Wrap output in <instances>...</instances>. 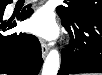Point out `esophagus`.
Returning <instances> with one entry per match:
<instances>
[{
  "label": "esophagus",
  "instance_id": "1",
  "mask_svg": "<svg viewBox=\"0 0 102 75\" xmlns=\"http://www.w3.org/2000/svg\"><path fill=\"white\" fill-rule=\"evenodd\" d=\"M41 51H42L43 58L47 55V53L49 51V47L44 41H41Z\"/></svg>",
  "mask_w": 102,
  "mask_h": 75
}]
</instances>
